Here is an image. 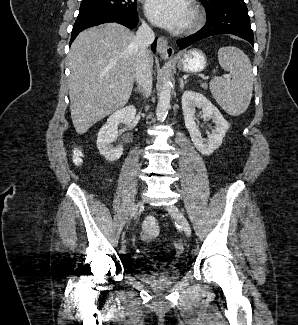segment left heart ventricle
Returning <instances> with one entry per match:
<instances>
[{"label":"left heart ventricle","mask_w":298,"mask_h":325,"mask_svg":"<svg viewBox=\"0 0 298 325\" xmlns=\"http://www.w3.org/2000/svg\"><path fill=\"white\" fill-rule=\"evenodd\" d=\"M189 22H190V12H189V9H188V19H187L186 25H188Z\"/></svg>","instance_id":"1"}]
</instances>
